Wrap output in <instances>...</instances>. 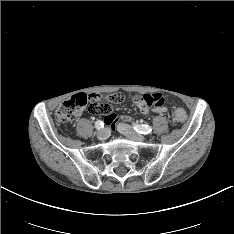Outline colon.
Listing matches in <instances>:
<instances>
[{
	"mask_svg": "<svg viewBox=\"0 0 234 234\" xmlns=\"http://www.w3.org/2000/svg\"><path fill=\"white\" fill-rule=\"evenodd\" d=\"M87 97L88 95L79 93L77 95L72 96L67 101L63 102L56 110L55 115L57 121L61 123L70 122L79 115L82 109L86 107L88 110V104L86 102ZM120 102H113V103H120ZM186 117H187L186 112L183 109L179 108L175 111L174 121L182 122L186 119Z\"/></svg>",
	"mask_w": 234,
	"mask_h": 234,
	"instance_id": "obj_1",
	"label": "colon"
}]
</instances>
